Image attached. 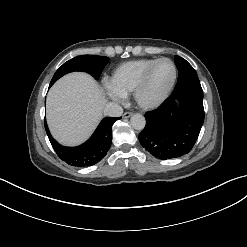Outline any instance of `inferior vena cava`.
Returning a JSON list of instances; mask_svg holds the SVG:
<instances>
[{
    "instance_id": "602c4592",
    "label": "inferior vena cava",
    "mask_w": 247,
    "mask_h": 247,
    "mask_svg": "<svg viewBox=\"0 0 247 247\" xmlns=\"http://www.w3.org/2000/svg\"><path fill=\"white\" fill-rule=\"evenodd\" d=\"M103 113L106 116L117 117L122 115L123 108L116 103L110 102L105 105Z\"/></svg>"
}]
</instances>
